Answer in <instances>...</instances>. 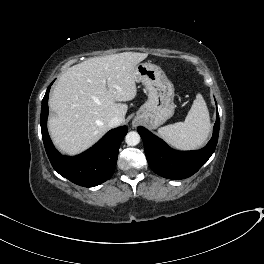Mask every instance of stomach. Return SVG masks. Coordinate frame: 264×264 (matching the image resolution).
<instances>
[{"mask_svg":"<svg viewBox=\"0 0 264 264\" xmlns=\"http://www.w3.org/2000/svg\"><path fill=\"white\" fill-rule=\"evenodd\" d=\"M135 76L146 87L148 100L139 108L134 121L155 129L174 114V86L164 71L152 63L138 64Z\"/></svg>","mask_w":264,"mask_h":264,"instance_id":"1","label":"stomach"}]
</instances>
